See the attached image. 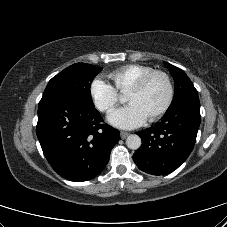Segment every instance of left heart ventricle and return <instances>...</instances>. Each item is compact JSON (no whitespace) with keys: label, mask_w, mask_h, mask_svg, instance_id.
Instances as JSON below:
<instances>
[{"label":"left heart ventricle","mask_w":227,"mask_h":227,"mask_svg":"<svg viewBox=\"0 0 227 227\" xmlns=\"http://www.w3.org/2000/svg\"><path fill=\"white\" fill-rule=\"evenodd\" d=\"M167 95L165 79L155 76L141 91L129 92L126 99L129 103L136 104L148 118L164 105Z\"/></svg>","instance_id":"1"}]
</instances>
